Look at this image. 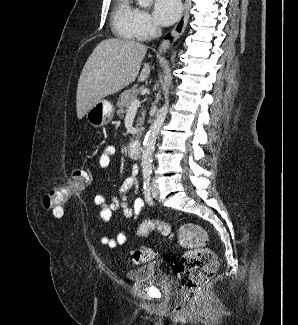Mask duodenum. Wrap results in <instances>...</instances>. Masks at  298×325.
Here are the masks:
<instances>
[{
  "label": "duodenum",
  "instance_id": "duodenum-1",
  "mask_svg": "<svg viewBox=\"0 0 298 325\" xmlns=\"http://www.w3.org/2000/svg\"><path fill=\"white\" fill-rule=\"evenodd\" d=\"M128 152L129 155L137 159L140 157L141 152H142V143L139 140H132L129 145H128Z\"/></svg>",
  "mask_w": 298,
  "mask_h": 325
}]
</instances>
